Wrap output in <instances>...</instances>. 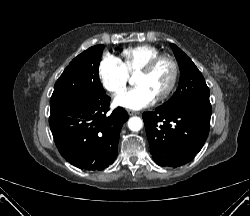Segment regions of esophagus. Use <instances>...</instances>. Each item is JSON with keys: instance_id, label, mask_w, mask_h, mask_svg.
I'll return each mask as SVG.
<instances>
[{"instance_id": "34e87169", "label": "esophagus", "mask_w": 250, "mask_h": 216, "mask_svg": "<svg viewBox=\"0 0 250 216\" xmlns=\"http://www.w3.org/2000/svg\"><path fill=\"white\" fill-rule=\"evenodd\" d=\"M127 112H128V114H129L130 116L139 114L138 112L133 111V110H127Z\"/></svg>"}]
</instances>
